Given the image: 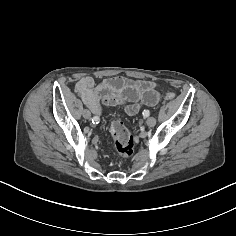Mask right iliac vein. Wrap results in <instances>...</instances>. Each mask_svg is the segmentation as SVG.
Here are the masks:
<instances>
[{"label":"right iliac vein","mask_w":236,"mask_h":236,"mask_svg":"<svg viewBox=\"0 0 236 236\" xmlns=\"http://www.w3.org/2000/svg\"><path fill=\"white\" fill-rule=\"evenodd\" d=\"M82 115L85 119H90L91 118V113L89 110L87 109H84L83 112H82Z\"/></svg>","instance_id":"1"}]
</instances>
